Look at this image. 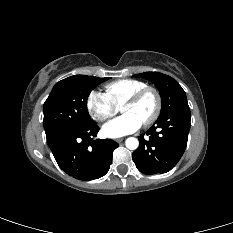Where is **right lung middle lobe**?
Returning <instances> with one entry per match:
<instances>
[{
    "label": "right lung middle lobe",
    "instance_id": "obj_1",
    "mask_svg": "<svg viewBox=\"0 0 233 233\" xmlns=\"http://www.w3.org/2000/svg\"><path fill=\"white\" fill-rule=\"evenodd\" d=\"M108 79L74 75L56 83L44 103L46 135L92 122L87 111L88 96L97 85Z\"/></svg>",
    "mask_w": 233,
    "mask_h": 233
}]
</instances>
